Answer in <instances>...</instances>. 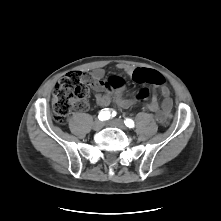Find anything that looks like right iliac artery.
Returning <instances> with one entry per match:
<instances>
[{"label":"right iliac artery","instance_id":"right-iliac-artery-1","mask_svg":"<svg viewBox=\"0 0 221 221\" xmlns=\"http://www.w3.org/2000/svg\"><path fill=\"white\" fill-rule=\"evenodd\" d=\"M110 112L108 111V109H103L99 115H98V118L101 120V121H106L110 118Z\"/></svg>","mask_w":221,"mask_h":221}]
</instances>
